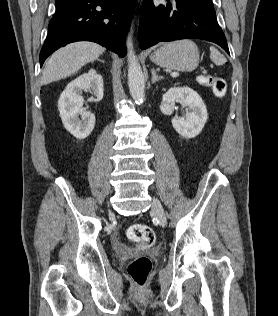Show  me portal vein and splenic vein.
<instances>
[{"mask_svg":"<svg viewBox=\"0 0 278 316\" xmlns=\"http://www.w3.org/2000/svg\"><path fill=\"white\" fill-rule=\"evenodd\" d=\"M179 76V73L178 72H173V73H171V77L172 78H176V77H178Z\"/></svg>","mask_w":278,"mask_h":316,"instance_id":"portal-vein-and-splenic-vein-1","label":"portal vein and splenic vein"}]
</instances>
